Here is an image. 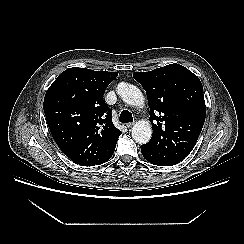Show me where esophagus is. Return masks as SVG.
I'll use <instances>...</instances> for the list:
<instances>
[{
  "instance_id": "esophagus-1",
  "label": "esophagus",
  "mask_w": 244,
  "mask_h": 244,
  "mask_svg": "<svg viewBox=\"0 0 244 244\" xmlns=\"http://www.w3.org/2000/svg\"><path fill=\"white\" fill-rule=\"evenodd\" d=\"M133 125H134V122H130V123H127V124H126V126H127L128 128H131Z\"/></svg>"
}]
</instances>
